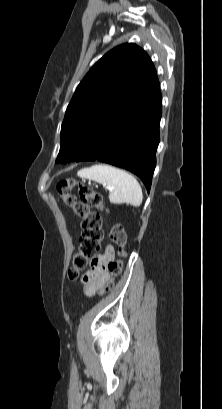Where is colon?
Listing matches in <instances>:
<instances>
[{
  "label": "colon",
  "instance_id": "colon-1",
  "mask_svg": "<svg viewBox=\"0 0 222 409\" xmlns=\"http://www.w3.org/2000/svg\"><path fill=\"white\" fill-rule=\"evenodd\" d=\"M77 187L79 198L73 193ZM57 193L65 206L82 218V231L77 252L72 257L68 270V278L76 280L81 271L87 268L90 256H99L101 242L104 237L103 213L106 211L102 195L92 187L76 181L74 178L61 179L56 186ZM110 238L118 247V259L109 260L110 279L97 293L103 294L113 289L114 279L123 270L126 257L127 238L122 225L114 223L110 229Z\"/></svg>",
  "mask_w": 222,
  "mask_h": 409
}]
</instances>
